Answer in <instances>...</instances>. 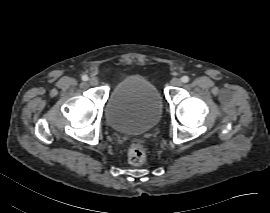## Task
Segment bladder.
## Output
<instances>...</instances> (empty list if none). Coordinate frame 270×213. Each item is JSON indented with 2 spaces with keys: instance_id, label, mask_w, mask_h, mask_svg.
<instances>
[{
  "instance_id": "31cf9c89",
  "label": "bladder",
  "mask_w": 270,
  "mask_h": 213,
  "mask_svg": "<svg viewBox=\"0 0 270 213\" xmlns=\"http://www.w3.org/2000/svg\"><path fill=\"white\" fill-rule=\"evenodd\" d=\"M163 112L155 85L144 75H130L109 92L105 117L109 126L122 134H143L152 130Z\"/></svg>"
}]
</instances>
